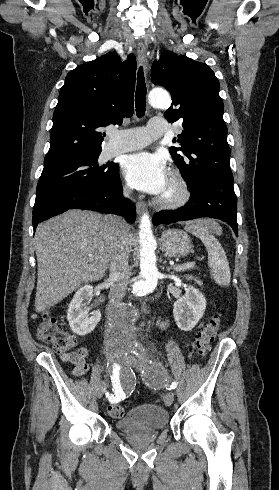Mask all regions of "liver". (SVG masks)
Returning <instances> with one entry per match:
<instances>
[{
  "label": "liver",
  "mask_w": 279,
  "mask_h": 490,
  "mask_svg": "<svg viewBox=\"0 0 279 490\" xmlns=\"http://www.w3.org/2000/svg\"><path fill=\"white\" fill-rule=\"evenodd\" d=\"M118 230L129 232L126 252L134 242L130 226L117 228L110 216L68 210L39 224L35 234L38 266L35 308L43 312L67 298L82 284L102 280L120 242Z\"/></svg>",
  "instance_id": "obj_1"
}]
</instances>
